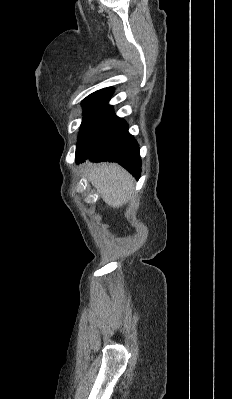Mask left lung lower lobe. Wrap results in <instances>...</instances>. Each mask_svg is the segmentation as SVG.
Segmentation results:
<instances>
[{
    "instance_id": "0a47b994",
    "label": "left lung lower lobe",
    "mask_w": 232,
    "mask_h": 399,
    "mask_svg": "<svg viewBox=\"0 0 232 399\" xmlns=\"http://www.w3.org/2000/svg\"><path fill=\"white\" fill-rule=\"evenodd\" d=\"M89 159L94 162H116L127 169L137 180L141 175V158L139 146L128 132L124 121L120 128L100 147L87 152L76 160L77 163Z\"/></svg>"
}]
</instances>
